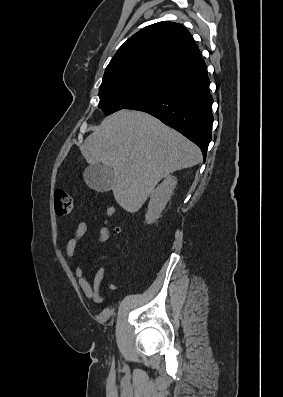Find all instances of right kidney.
<instances>
[{"instance_id": "obj_1", "label": "right kidney", "mask_w": 283, "mask_h": 397, "mask_svg": "<svg viewBox=\"0 0 283 397\" xmlns=\"http://www.w3.org/2000/svg\"><path fill=\"white\" fill-rule=\"evenodd\" d=\"M176 184L177 179L174 176L168 175L165 177L164 181L152 191L148 211L145 216L147 224L154 223L160 217L174 192Z\"/></svg>"}]
</instances>
